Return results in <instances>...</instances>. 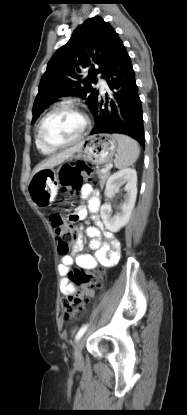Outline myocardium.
Instances as JSON below:
<instances>
[{"instance_id": "1", "label": "myocardium", "mask_w": 187, "mask_h": 415, "mask_svg": "<svg viewBox=\"0 0 187 415\" xmlns=\"http://www.w3.org/2000/svg\"><path fill=\"white\" fill-rule=\"evenodd\" d=\"M63 108H68V109H73L76 112H78L84 121L83 127L80 131V133L78 134V136L76 138H74L71 141L65 142V143H61V144H54L51 143L49 141H47L44 136H43V126L44 123L46 121V119L55 111L59 110V109H63ZM90 128V119L88 117V115L86 114V112L80 108L78 105H76L73 102H60L55 104L49 111H47V113L41 118L39 124H38V130H37V137L39 139V141L41 142V144H43L45 147L50 148V149H54V150H58V149H63L69 146H72L76 143H78L79 141H81L83 139V137L86 135L87 131Z\"/></svg>"}]
</instances>
